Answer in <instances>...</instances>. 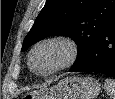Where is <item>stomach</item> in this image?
Returning a JSON list of instances; mask_svg holds the SVG:
<instances>
[{
  "instance_id": "stomach-1",
  "label": "stomach",
  "mask_w": 115,
  "mask_h": 99,
  "mask_svg": "<svg viewBox=\"0 0 115 99\" xmlns=\"http://www.w3.org/2000/svg\"><path fill=\"white\" fill-rule=\"evenodd\" d=\"M101 89L100 83L91 77L71 76L49 88L24 95L30 99H95Z\"/></svg>"
}]
</instances>
